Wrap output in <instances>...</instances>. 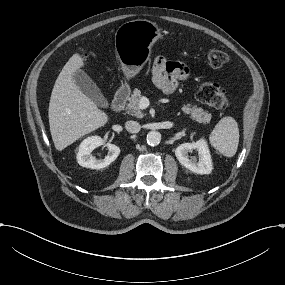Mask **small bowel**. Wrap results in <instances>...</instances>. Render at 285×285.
I'll use <instances>...</instances> for the list:
<instances>
[{
    "label": "small bowel",
    "mask_w": 285,
    "mask_h": 285,
    "mask_svg": "<svg viewBox=\"0 0 285 285\" xmlns=\"http://www.w3.org/2000/svg\"><path fill=\"white\" fill-rule=\"evenodd\" d=\"M189 77V69L183 63L157 57L152 66V80L166 94L173 93L179 82Z\"/></svg>",
    "instance_id": "c3829d8e"
}]
</instances>
